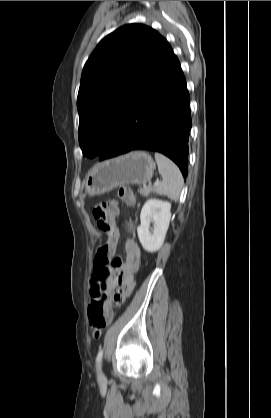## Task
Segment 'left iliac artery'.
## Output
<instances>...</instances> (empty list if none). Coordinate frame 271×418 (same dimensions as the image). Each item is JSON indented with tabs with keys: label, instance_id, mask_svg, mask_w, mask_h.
Listing matches in <instances>:
<instances>
[{
	"label": "left iliac artery",
	"instance_id": "1",
	"mask_svg": "<svg viewBox=\"0 0 271 418\" xmlns=\"http://www.w3.org/2000/svg\"><path fill=\"white\" fill-rule=\"evenodd\" d=\"M102 356H103V350L100 349V351L98 352L97 357H96V363L97 364L101 361Z\"/></svg>",
	"mask_w": 271,
	"mask_h": 418
}]
</instances>
